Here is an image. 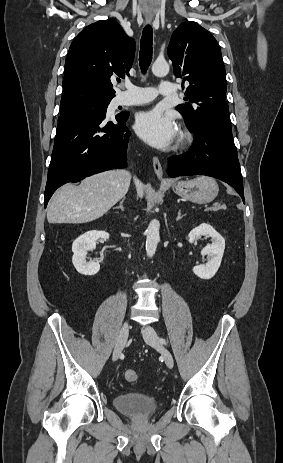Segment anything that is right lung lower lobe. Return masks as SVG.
I'll list each match as a JSON object with an SVG mask.
<instances>
[{"label":"right lung lower lobe","instance_id":"obj_1","mask_svg":"<svg viewBox=\"0 0 283 463\" xmlns=\"http://www.w3.org/2000/svg\"><path fill=\"white\" fill-rule=\"evenodd\" d=\"M128 117V113H122L108 121L106 110L95 108L58 120L44 194L45 208L63 184L126 165Z\"/></svg>","mask_w":283,"mask_h":463}]
</instances>
